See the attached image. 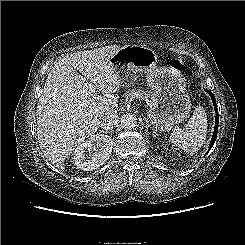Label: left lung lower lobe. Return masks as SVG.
<instances>
[{"label": "left lung lower lobe", "mask_w": 245, "mask_h": 245, "mask_svg": "<svg viewBox=\"0 0 245 245\" xmlns=\"http://www.w3.org/2000/svg\"><path fill=\"white\" fill-rule=\"evenodd\" d=\"M206 92L209 93V95H210V97H211V99H212L214 108H215V112H216L214 133H213L212 139H211V141H210V145H209V148L211 149L212 146L214 145L215 140H216V137H217L219 117H218V110H217V108H216V101H215V98H214L213 94H212L210 91H208V90H206ZM210 149H209V150H210ZM207 153H208V152H207Z\"/></svg>", "instance_id": "left-lung-lower-lobe-1"}]
</instances>
